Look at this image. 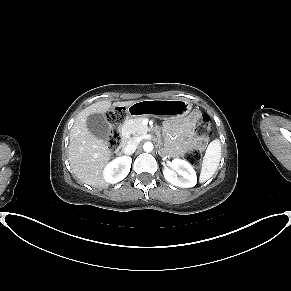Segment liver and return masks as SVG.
<instances>
[{
    "instance_id": "6515ba94",
    "label": "liver",
    "mask_w": 291,
    "mask_h": 291,
    "mask_svg": "<svg viewBox=\"0 0 291 291\" xmlns=\"http://www.w3.org/2000/svg\"><path fill=\"white\" fill-rule=\"evenodd\" d=\"M136 101L115 102L114 107H128ZM111 101L105 100L90 105L81 111L70 132L68 160L75 176L90 186L106 188L108 183L103 177V168L111 158L108 143L92 135L86 125L87 117L94 113H105Z\"/></svg>"
}]
</instances>
